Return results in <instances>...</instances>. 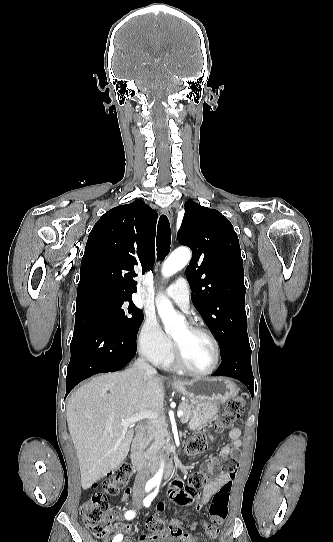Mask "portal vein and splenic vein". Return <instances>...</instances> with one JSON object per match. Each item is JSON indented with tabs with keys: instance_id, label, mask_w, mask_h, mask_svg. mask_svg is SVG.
<instances>
[{
	"instance_id": "portal-vein-and-splenic-vein-1",
	"label": "portal vein and splenic vein",
	"mask_w": 333,
	"mask_h": 542,
	"mask_svg": "<svg viewBox=\"0 0 333 542\" xmlns=\"http://www.w3.org/2000/svg\"><path fill=\"white\" fill-rule=\"evenodd\" d=\"M177 416L178 418L183 416L182 410L177 412ZM144 418H159L158 410H150V412H138V414H134V416L127 418V420H121V426H131V424L140 422V420H144Z\"/></svg>"
}]
</instances>
